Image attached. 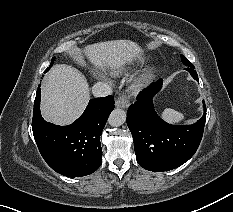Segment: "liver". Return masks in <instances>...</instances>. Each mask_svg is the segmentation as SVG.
<instances>
[{
	"label": "liver",
	"instance_id": "6515ba94",
	"mask_svg": "<svg viewBox=\"0 0 233 212\" xmlns=\"http://www.w3.org/2000/svg\"><path fill=\"white\" fill-rule=\"evenodd\" d=\"M142 52L131 40H112L87 45L78 52L84 53L97 68L117 69L131 63ZM90 99L86 78L74 67L54 65L43 79L41 113L43 118L57 125L75 121Z\"/></svg>",
	"mask_w": 233,
	"mask_h": 212
}]
</instances>
